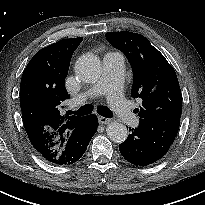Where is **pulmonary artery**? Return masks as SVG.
Instances as JSON below:
<instances>
[{
    "instance_id": "pulmonary-artery-1",
    "label": "pulmonary artery",
    "mask_w": 205,
    "mask_h": 205,
    "mask_svg": "<svg viewBox=\"0 0 205 205\" xmlns=\"http://www.w3.org/2000/svg\"><path fill=\"white\" fill-rule=\"evenodd\" d=\"M124 71L125 59L121 53L110 52L105 54L103 71L99 79L89 89L80 94L74 103L104 94L123 123L132 127L138 126V116L131 111L129 102L122 95Z\"/></svg>"
}]
</instances>
